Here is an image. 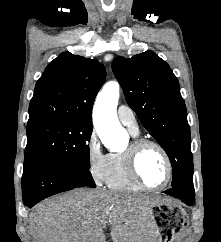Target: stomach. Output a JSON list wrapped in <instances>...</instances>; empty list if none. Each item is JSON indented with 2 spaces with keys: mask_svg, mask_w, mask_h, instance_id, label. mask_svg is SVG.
I'll return each mask as SVG.
<instances>
[{
  "mask_svg": "<svg viewBox=\"0 0 221 242\" xmlns=\"http://www.w3.org/2000/svg\"><path fill=\"white\" fill-rule=\"evenodd\" d=\"M149 214L158 232V236L159 231L170 232L173 235L176 230L182 231L186 227L185 211L172 201L164 200L158 202L149 208ZM162 237L164 242H167V240H169L168 242H172L173 237L171 234H166ZM162 237L159 236L156 238L155 242H163Z\"/></svg>",
  "mask_w": 221,
  "mask_h": 242,
  "instance_id": "0dacf381",
  "label": "stomach"
}]
</instances>
